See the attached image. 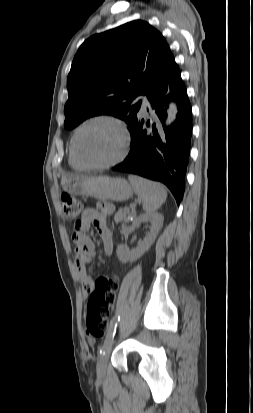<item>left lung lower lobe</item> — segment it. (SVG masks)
<instances>
[{
	"mask_svg": "<svg viewBox=\"0 0 253 413\" xmlns=\"http://www.w3.org/2000/svg\"><path fill=\"white\" fill-rule=\"evenodd\" d=\"M168 87L178 106L176 121L164 125L167 116ZM152 109L163 123L164 133L159 134L156 124L141 114L131 125V150L127 158L113 170L138 174L160 181L173 193L180 204L185 189V174L192 136V108L180 70L172 58L159 79L146 93Z\"/></svg>",
	"mask_w": 253,
	"mask_h": 413,
	"instance_id": "obj_1",
	"label": "left lung lower lobe"
}]
</instances>
